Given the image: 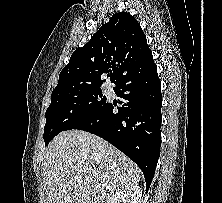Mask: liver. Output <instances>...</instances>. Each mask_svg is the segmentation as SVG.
<instances>
[{"label":"liver","instance_id":"liver-1","mask_svg":"<svg viewBox=\"0 0 222 203\" xmlns=\"http://www.w3.org/2000/svg\"><path fill=\"white\" fill-rule=\"evenodd\" d=\"M42 165L47 203H106L141 178L139 167L121 151L82 130L58 134Z\"/></svg>","mask_w":222,"mask_h":203}]
</instances>
